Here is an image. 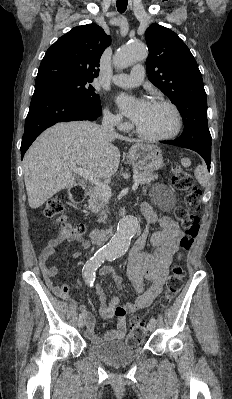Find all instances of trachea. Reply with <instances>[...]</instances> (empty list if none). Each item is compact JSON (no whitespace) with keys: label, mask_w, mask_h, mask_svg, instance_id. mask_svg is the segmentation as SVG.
<instances>
[{"label":"trachea","mask_w":232,"mask_h":399,"mask_svg":"<svg viewBox=\"0 0 232 399\" xmlns=\"http://www.w3.org/2000/svg\"><path fill=\"white\" fill-rule=\"evenodd\" d=\"M128 5V0H117V10L124 13Z\"/></svg>","instance_id":"3493384b"}]
</instances>
